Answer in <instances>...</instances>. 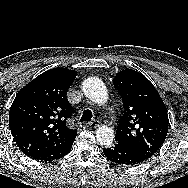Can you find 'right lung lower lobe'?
Returning a JSON list of instances; mask_svg holds the SVG:
<instances>
[{
	"label": "right lung lower lobe",
	"mask_w": 188,
	"mask_h": 188,
	"mask_svg": "<svg viewBox=\"0 0 188 188\" xmlns=\"http://www.w3.org/2000/svg\"><path fill=\"white\" fill-rule=\"evenodd\" d=\"M75 138L62 146L52 148V149H47V150L40 151V152H35L29 155L28 157L35 159V160H45V161H52L55 159H59L67 155L70 152Z\"/></svg>",
	"instance_id": "98d812e1"
}]
</instances>
